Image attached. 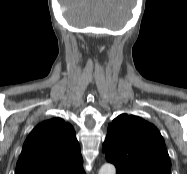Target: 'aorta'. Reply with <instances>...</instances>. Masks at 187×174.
<instances>
[{
    "label": "aorta",
    "mask_w": 187,
    "mask_h": 174,
    "mask_svg": "<svg viewBox=\"0 0 187 174\" xmlns=\"http://www.w3.org/2000/svg\"><path fill=\"white\" fill-rule=\"evenodd\" d=\"M98 174H116V168L113 164L107 163L100 168Z\"/></svg>",
    "instance_id": "762f6f07"
}]
</instances>
